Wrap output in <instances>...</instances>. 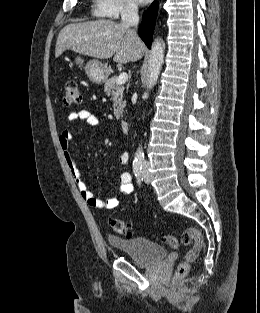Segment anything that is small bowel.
Returning <instances> with one entry per match:
<instances>
[{"label": "small bowel", "instance_id": "obj_1", "mask_svg": "<svg viewBox=\"0 0 260 313\" xmlns=\"http://www.w3.org/2000/svg\"><path fill=\"white\" fill-rule=\"evenodd\" d=\"M69 121H77L83 120L89 126L98 127L100 126L99 119L92 114L90 111L82 109L79 111L71 112L68 115ZM73 137V131L69 128H65L61 131L59 135V145L63 156L65 158L66 164L71 172L72 177L75 180L76 186L79 190V193L82 199L92 208L95 209H107L111 210L118 206L119 204V197L112 196L107 200H102L88 189L86 183L81 177V173L76 166L74 161L71 149H70V142ZM118 161L121 165L126 166L129 162V155L127 152H122L118 156ZM134 191V187L132 185V177L128 172H122L119 175V186H118V194L119 195H130Z\"/></svg>", "mask_w": 260, "mask_h": 313}]
</instances>
